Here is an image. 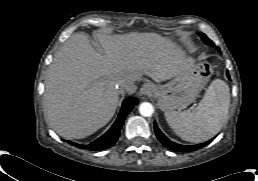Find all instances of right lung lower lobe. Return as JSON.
I'll return each instance as SVG.
<instances>
[{"label": "right lung lower lobe", "mask_w": 258, "mask_h": 181, "mask_svg": "<svg viewBox=\"0 0 258 181\" xmlns=\"http://www.w3.org/2000/svg\"><path fill=\"white\" fill-rule=\"evenodd\" d=\"M136 104H138L137 98L130 97V98L125 99L122 104L120 114H119L117 120L115 121V123L103 136H101L94 142H92L88 145L76 144V143H73L70 141H69V143L72 145H75L76 147H78L80 149H88L91 151L104 150V149L112 147L118 140L120 129L124 123L125 117L129 114V112L133 109V107Z\"/></svg>", "instance_id": "right-lung-lower-lobe-1"}]
</instances>
